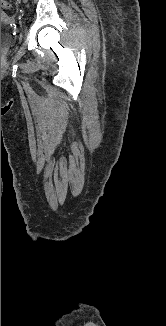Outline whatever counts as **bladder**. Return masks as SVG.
Returning a JSON list of instances; mask_svg holds the SVG:
<instances>
[{"instance_id":"1","label":"bladder","mask_w":166,"mask_h":326,"mask_svg":"<svg viewBox=\"0 0 166 326\" xmlns=\"http://www.w3.org/2000/svg\"><path fill=\"white\" fill-rule=\"evenodd\" d=\"M1 14H4V12L1 10Z\"/></svg>"}]
</instances>
